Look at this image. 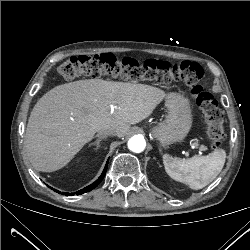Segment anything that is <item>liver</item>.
Listing matches in <instances>:
<instances>
[{"instance_id": "1", "label": "liver", "mask_w": 250, "mask_h": 250, "mask_svg": "<svg viewBox=\"0 0 250 250\" xmlns=\"http://www.w3.org/2000/svg\"><path fill=\"white\" fill-rule=\"evenodd\" d=\"M165 96L156 87L102 79L56 86L30 114L25 134L28 159L38 171L59 170L99 130L114 129L124 137L131 124L150 116Z\"/></svg>"}]
</instances>
